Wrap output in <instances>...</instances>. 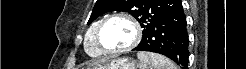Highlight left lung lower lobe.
I'll return each instance as SVG.
<instances>
[{
    "instance_id": "left-lung-lower-lobe-1",
    "label": "left lung lower lobe",
    "mask_w": 246,
    "mask_h": 69,
    "mask_svg": "<svg viewBox=\"0 0 246 69\" xmlns=\"http://www.w3.org/2000/svg\"><path fill=\"white\" fill-rule=\"evenodd\" d=\"M188 34L186 17L180 3L164 18L143 31V38L133 50L159 53L187 69Z\"/></svg>"
}]
</instances>
